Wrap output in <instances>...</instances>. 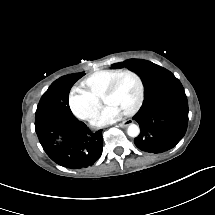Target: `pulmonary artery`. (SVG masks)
I'll return each mask as SVG.
<instances>
[{"mask_svg": "<svg viewBox=\"0 0 215 215\" xmlns=\"http://www.w3.org/2000/svg\"><path fill=\"white\" fill-rule=\"evenodd\" d=\"M93 83H94V85L97 86V87H102V86H104L105 83H106V78H105V76L102 75V74H97V75H95L94 78H93Z\"/></svg>", "mask_w": 215, "mask_h": 215, "instance_id": "obj_1", "label": "pulmonary artery"}]
</instances>
